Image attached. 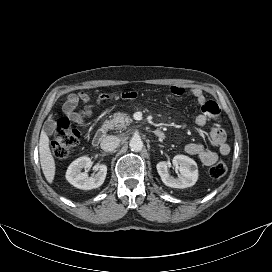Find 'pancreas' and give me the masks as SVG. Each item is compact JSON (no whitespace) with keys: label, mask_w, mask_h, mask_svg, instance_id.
Instances as JSON below:
<instances>
[{"label":"pancreas","mask_w":272,"mask_h":272,"mask_svg":"<svg viewBox=\"0 0 272 272\" xmlns=\"http://www.w3.org/2000/svg\"><path fill=\"white\" fill-rule=\"evenodd\" d=\"M133 120L124 113H114L112 119H110L109 125L111 129H122L130 125Z\"/></svg>","instance_id":"obj_1"}]
</instances>
